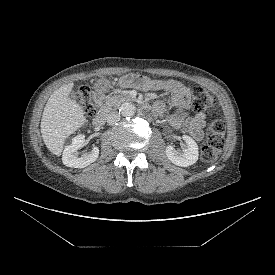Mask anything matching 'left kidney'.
Listing matches in <instances>:
<instances>
[{"instance_id": "1", "label": "left kidney", "mask_w": 275, "mask_h": 275, "mask_svg": "<svg viewBox=\"0 0 275 275\" xmlns=\"http://www.w3.org/2000/svg\"><path fill=\"white\" fill-rule=\"evenodd\" d=\"M183 140L187 144L184 150H176L173 146L166 147V155L168 159L177 166L188 167L196 163L198 160V145L188 135L182 136Z\"/></svg>"}]
</instances>
